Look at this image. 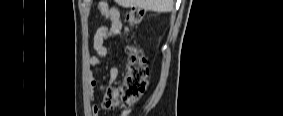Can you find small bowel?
<instances>
[{"mask_svg": "<svg viewBox=\"0 0 283 116\" xmlns=\"http://www.w3.org/2000/svg\"><path fill=\"white\" fill-rule=\"evenodd\" d=\"M97 10L100 12L104 19L110 21V26H100L93 38L94 54L88 59L89 65L96 67L103 63L104 58L108 55V47L105 41L111 37H117L122 30V21L120 12L116 8L109 7L106 2L100 1L97 3ZM119 77V69L113 66L109 69V86H114ZM98 85L96 79H92L91 87L95 88ZM99 108L97 105L91 107V114L97 116ZM122 115H127V112H123Z\"/></svg>", "mask_w": 283, "mask_h": 116, "instance_id": "obj_1", "label": "small bowel"}]
</instances>
